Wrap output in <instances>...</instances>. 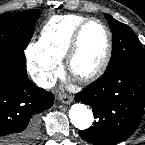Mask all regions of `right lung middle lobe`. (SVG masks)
Masks as SVG:
<instances>
[{"label":"right lung middle lobe","mask_w":145,"mask_h":145,"mask_svg":"<svg viewBox=\"0 0 145 145\" xmlns=\"http://www.w3.org/2000/svg\"><path fill=\"white\" fill-rule=\"evenodd\" d=\"M40 10L0 15V51L24 50L32 38Z\"/></svg>","instance_id":"1"}]
</instances>
